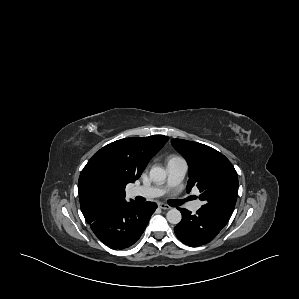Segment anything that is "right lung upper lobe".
I'll list each match as a JSON object with an SVG mask.
<instances>
[{
	"instance_id": "1",
	"label": "right lung upper lobe",
	"mask_w": 299,
	"mask_h": 299,
	"mask_svg": "<svg viewBox=\"0 0 299 299\" xmlns=\"http://www.w3.org/2000/svg\"><path fill=\"white\" fill-rule=\"evenodd\" d=\"M169 138L154 135L125 138L97 151L83 168L78 192L81 210L90 206H112L125 201V187L137 180L150 159ZM105 180L100 181L98 174Z\"/></svg>"
}]
</instances>
